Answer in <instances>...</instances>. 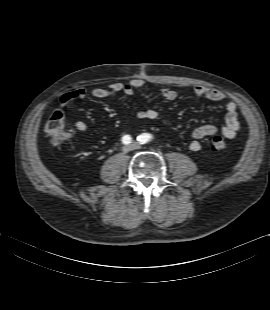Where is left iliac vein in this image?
<instances>
[{
    "label": "left iliac vein",
    "mask_w": 270,
    "mask_h": 310,
    "mask_svg": "<svg viewBox=\"0 0 270 310\" xmlns=\"http://www.w3.org/2000/svg\"><path fill=\"white\" fill-rule=\"evenodd\" d=\"M130 146L132 147L133 150L141 148V145L138 142H132Z\"/></svg>",
    "instance_id": "1"
}]
</instances>
